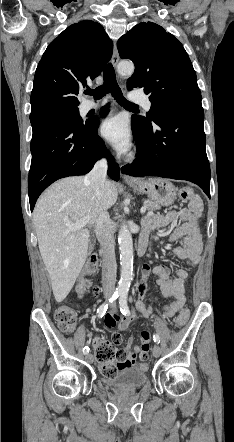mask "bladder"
Wrapping results in <instances>:
<instances>
[{"instance_id": "bladder-1", "label": "bladder", "mask_w": 234, "mask_h": 442, "mask_svg": "<svg viewBox=\"0 0 234 442\" xmlns=\"http://www.w3.org/2000/svg\"><path fill=\"white\" fill-rule=\"evenodd\" d=\"M148 380L147 369L142 366H126L118 369L112 376L103 377L110 388L131 390L143 386Z\"/></svg>"}]
</instances>
